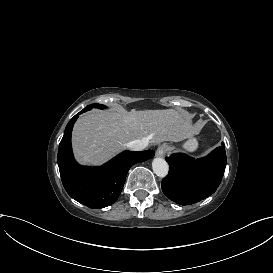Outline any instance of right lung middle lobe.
<instances>
[{
	"label": "right lung middle lobe",
	"instance_id": "1",
	"mask_svg": "<svg viewBox=\"0 0 273 273\" xmlns=\"http://www.w3.org/2000/svg\"><path fill=\"white\" fill-rule=\"evenodd\" d=\"M92 108L105 109L106 106L101 105V104H91V105H88L86 108H84L82 111L86 112L87 110H91Z\"/></svg>",
	"mask_w": 273,
	"mask_h": 273
}]
</instances>
